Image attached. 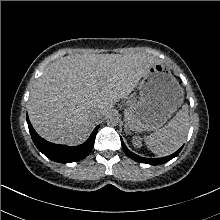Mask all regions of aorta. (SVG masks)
Listing matches in <instances>:
<instances>
[{
	"instance_id": "obj_1",
	"label": "aorta",
	"mask_w": 220,
	"mask_h": 220,
	"mask_svg": "<svg viewBox=\"0 0 220 220\" xmlns=\"http://www.w3.org/2000/svg\"><path fill=\"white\" fill-rule=\"evenodd\" d=\"M106 121H107V124L115 126L119 122V117H118V115L116 113H110L107 116V120Z\"/></svg>"
}]
</instances>
